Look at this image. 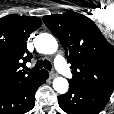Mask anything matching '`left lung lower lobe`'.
Segmentation results:
<instances>
[{
  "label": "left lung lower lobe",
  "mask_w": 114,
  "mask_h": 114,
  "mask_svg": "<svg viewBox=\"0 0 114 114\" xmlns=\"http://www.w3.org/2000/svg\"><path fill=\"white\" fill-rule=\"evenodd\" d=\"M112 93L73 84L69 91L58 97L59 106L68 114H98L110 99Z\"/></svg>",
  "instance_id": "obj_1"
}]
</instances>
